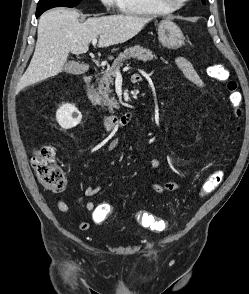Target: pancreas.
Instances as JSON below:
<instances>
[{"label":"pancreas","mask_w":249,"mask_h":294,"mask_svg":"<svg viewBox=\"0 0 249 294\" xmlns=\"http://www.w3.org/2000/svg\"><path fill=\"white\" fill-rule=\"evenodd\" d=\"M137 58L142 61H150L156 58V56L148 49L136 45L126 49L123 53H120L119 56L114 60L111 67H108L105 71L102 72V77L97 79L98 83V95L104 107H106L110 112H113L114 109L119 108V103L115 97H110V94L113 92L111 85H113L114 78L122 67L123 62L130 59Z\"/></svg>","instance_id":"cf45deb5"}]
</instances>
